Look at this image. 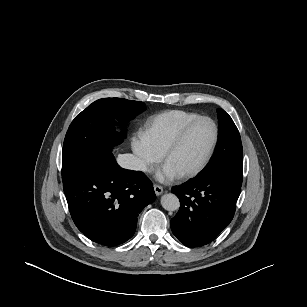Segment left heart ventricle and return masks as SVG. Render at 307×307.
Instances as JSON below:
<instances>
[{"label": "left heart ventricle", "mask_w": 307, "mask_h": 307, "mask_svg": "<svg viewBox=\"0 0 307 307\" xmlns=\"http://www.w3.org/2000/svg\"><path fill=\"white\" fill-rule=\"evenodd\" d=\"M214 130L209 122H200L186 135L166 164L179 174L195 168L204 158L213 139Z\"/></svg>", "instance_id": "obj_1"}]
</instances>
